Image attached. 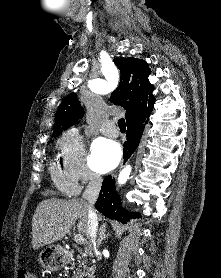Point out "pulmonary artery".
<instances>
[{"mask_svg":"<svg viewBox=\"0 0 221 278\" xmlns=\"http://www.w3.org/2000/svg\"><path fill=\"white\" fill-rule=\"evenodd\" d=\"M102 132L110 137H117L119 135V130L116 128L114 122L107 123L103 127Z\"/></svg>","mask_w":221,"mask_h":278,"instance_id":"pulmonary-artery-1","label":"pulmonary artery"}]
</instances>
